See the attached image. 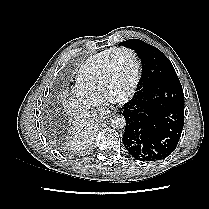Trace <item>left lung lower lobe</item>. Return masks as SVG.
<instances>
[{
  "mask_svg": "<svg viewBox=\"0 0 209 209\" xmlns=\"http://www.w3.org/2000/svg\"><path fill=\"white\" fill-rule=\"evenodd\" d=\"M122 109L123 144L135 159L158 161L175 150L184 125V94L178 77L138 90Z\"/></svg>",
  "mask_w": 209,
  "mask_h": 209,
  "instance_id": "left-lung-lower-lobe-1",
  "label": "left lung lower lobe"
}]
</instances>
